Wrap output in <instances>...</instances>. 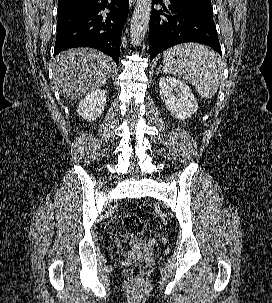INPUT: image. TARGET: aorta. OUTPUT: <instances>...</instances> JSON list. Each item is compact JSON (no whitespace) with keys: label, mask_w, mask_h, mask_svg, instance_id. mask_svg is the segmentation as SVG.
I'll return each mask as SVG.
<instances>
[{"label":"aorta","mask_w":272,"mask_h":303,"mask_svg":"<svg viewBox=\"0 0 272 303\" xmlns=\"http://www.w3.org/2000/svg\"><path fill=\"white\" fill-rule=\"evenodd\" d=\"M152 0H136L130 25V39L133 45H139L148 30Z\"/></svg>","instance_id":"aorta-1"}]
</instances>
